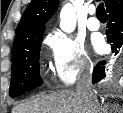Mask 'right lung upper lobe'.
<instances>
[{
  "instance_id": "1",
  "label": "right lung upper lobe",
  "mask_w": 123,
  "mask_h": 113,
  "mask_svg": "<svg viewBox=\"0 0 123 113\" xmlns=\"http://www.w3.org/2000/svg\"><path fill=\"white\" fill-rule=\"evenodd\" d=\"M106 8L111 0H104ZM58 0H32L18 25L14 50L24 42L43 35L46 22L58 7Z\"/></svg>"
}]
</instances>
